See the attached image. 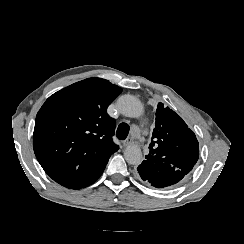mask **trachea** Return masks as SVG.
<instances>
[{"mask_svg":"<svg viewBox=\"0 0 244 244\" xmlns=\"http://www.w3.org/2000/svg\"><path fill=\"white\" fill-rule=\"evenodd\" d=\"M117 137L118 139H125L129 133V126L126 123H122L117 128Z\"/></svg>","mask_w":244,"mask_h":244,"instance_id":"trachea-1","label":"trachea"}]
</instances>
